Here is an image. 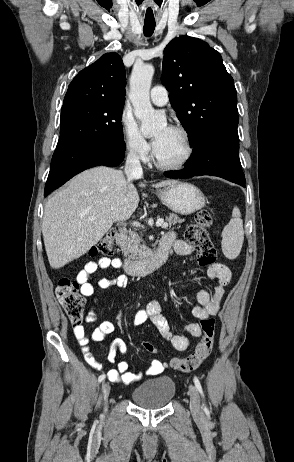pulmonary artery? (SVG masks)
<instances>
[{"label":"pulmonary artery","mask_w":294,"mask_h":462,"mask_svg":"<svg viewBox=\"0 0 294 462\" xmlns=\"http://www.w3.org/2000/svg\"><path fill=\"white\" fill-rule=\"evenodd\" d=\"M151 101L158 106H164L168 103V91L164 86L157 85L150 90Z\"/></svg>","instance_id":"1"}]
</instances>
